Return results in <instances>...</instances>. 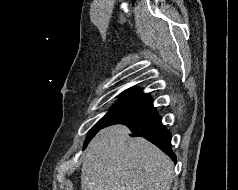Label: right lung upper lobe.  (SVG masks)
<instances>
[{"mask_svg": "<svg viewBox=\"0 0 238 190\" xmlns=\"http://www.w3.org/2000/svg\"><path fill=\"white\" fill-rule=\"evenodd\" d=\"M121 97L133 98L141 101L152 103V98L148 93H143L141 89L130 88L121 93Z\"/></svg>", "mask_w": 238, "mask_h": 190, "instance_id": "right-lung-upper-lobe-1", "label": "right lung upper lobe"}]
</instances>
